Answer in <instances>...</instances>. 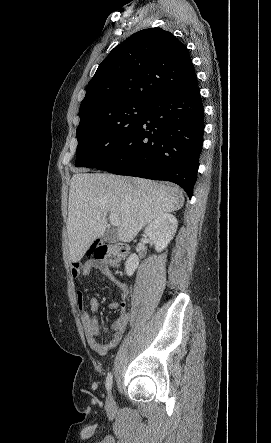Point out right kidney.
Returning <instances> with one entry per match:
<instances>
[{
    "label": "right kidney",
    "instance_id": "obj_1",
    "mask_svg": "<svg viewBox=\"0 0 271 443\" xmlns=\"http://www.w3.org/2000/svg\"><path fill=\"white\" fill-rule=\"evenodd\" d=\"M178 227V222L173 214H161L156 220L149 223L144 231L149 239L155 243L156 251H163L173 239ZM139 257L136 253H131L125 263L127 275H133L139 265Z\"/></svg>",
    "mask_w": 271,
    "mask_h": 443
}]
</instances>
